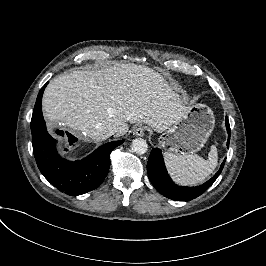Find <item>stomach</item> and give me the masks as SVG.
Instances as JSON below:
<instances>
[{
  "mask_svg": "<svg viewBox=\"0 0 266 266\" xmlns=\"http://www.w3.org/2000/svg\"><path fill=\"white\" fill-rule=\"evenodd\" d=\"M214 123L213 112L208 106L194 105L182 121L172 125L160 137V144L169 153L193 154L204 146Z\"/></svg>",
  "mask_w": 266,
  "mask_h": 266,
  "instance_id": "1",
  "label": "stomach"
}]
</instances>
